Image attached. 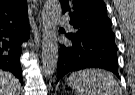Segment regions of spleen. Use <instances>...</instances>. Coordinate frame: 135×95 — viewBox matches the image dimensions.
I'll return each instance as SVG.
<instances>
[{
    "mask_svg": "<svg viewBox=\"0 0 135 95\" xmlns=\"http://www.w3.org/2000/svg\"><path fill=\"white\" fill-rule=\"evenodd\" d=\"M68 84L77 95H122L116 79L101 69L73 72L68 78Z\"/></svg>",
    "mask_w": 135,
    "mask_h": 95,
    "instance_id": "1",
    "label": "spleen"
}]
</instances>
